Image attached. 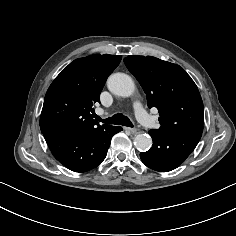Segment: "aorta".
<instances>
[{
  "mask_svg": "<svg viewBox=\"0 0 236 236\" xmlns=\"http://www.w3.org/2000/svg\"><path fill=\"white\" fill-rule=\"evenodd\" d=\"M107 86L110 92L121 97H129L135 90L134 81L125 73L112 74L107 80ZM134 144L138 150L147 151L152 146V139L147 134H137Z\"/></svg>",
  "mask_w": 236,
  "mask_h": 236,
  "instance_id": "762f6f07",
  "label": "aorta"
}]
</instances>
